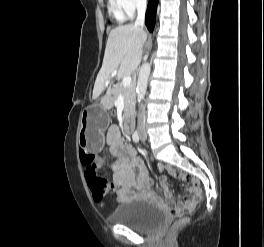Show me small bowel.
<instances>
[{"label": "small bowel", "mask_w": 264, "mask_h": 247, "mask_svg": "<svg viewBox=\"0 0 264 247\" xmlns=\"http://www.w3.org/2000/svg\"><path fill=\"white\" fill-rule=\"evenodd\" d=\"M106 142L110 155L115 158L110 168L113 171V182L117 186V200L126 203L131 201L133 197L147 196L159 202V198L152 190V183L145 164L137 157L134 149L123 141L117 126L108 128ZM135 168L139 169L137 176ZM160 169H165L170 175L180 176L170 167L163 168L160 166ZM193 181L196 185L191 186L188 191L190 195L198 194L200 196L197 181L195 179ZM163 193L167 199H171V191L165 184V178H163Z\"/></svg>", "instance_id": "obj_1"}]
</instances>
